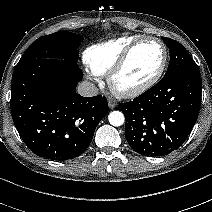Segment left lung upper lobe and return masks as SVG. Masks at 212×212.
<instances>
[{
	"mask_svg": "<svg viewBox=\"0 0 212 212\" xmlns=\"http://www.w3.org/2000/svg\"><path fill=\"white\" fill-rule=\"evenodd\" d=\"M162 40L169 48L170 63L161 81L167 80L183 71L197 68L196 63L182 44L167 37H162Z\"/></svg>",
	"mask_w": 212,
	"mask_h": 212,
	"instance_id": "left-lung-upper-lobe-1",
	"label": "left lung upper lobe"
}]
</instances>
